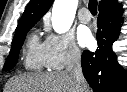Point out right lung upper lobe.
Segmentation results:
<instances>
[{
  "label": "right lung upper lobe",
  "mask_w": 127,
  "mask_h": 92,
  "mask_svg": "<svg viewBox=\"0 0 127 92\" xmlns=\"http://www.w3.org/2000/svg\"><path fill=\"white\" fill-rule=\"evenodd\" d=\"M53 0H31L27 5L16 29L20 30L34 25L49 10ZM117 0H101L99 8H111L118 6Z\"/></svg>",
  "instance_id": "cb5924a9"
}]
</instances>
